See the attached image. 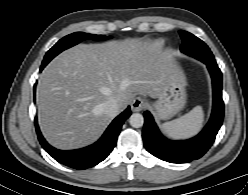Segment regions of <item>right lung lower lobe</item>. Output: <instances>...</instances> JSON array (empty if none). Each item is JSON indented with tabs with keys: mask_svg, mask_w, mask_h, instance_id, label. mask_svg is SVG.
Wrapping results in <instances>:
<instances>
[{
	"mask_svg": "<svg viewBox=\"0 0 248 195\" xmlns=\"http://www.w3.org/2000/svg\"><path fill=\"white\" fill-rule=\"evenodd\" d=\"M45 66L46 65H42L40 71H42ZM130 114V107H128L112 121L97 142L76 150L63 151L52 147L42 136L37 120H35V127L40 144L56 161L74 169H87L97 165L111 153L116 145L121 127Z\"/></svg>",
	"mask_w": 248,
	"mask_h": 195,
	"instance_id": "98d812e1",
	"label": "right lung lower lobe"
}]
</instances>
